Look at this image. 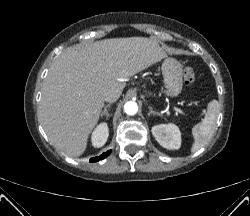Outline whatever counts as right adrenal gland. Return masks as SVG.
<instances>
[{
	"instance_id": "obj_1",
	"label": "right adrenal gland",
	"mask_w": 250,
	"mask_h": 216,
	"mask_svg": "<svg viewBox=\"0 0 250 216\" xmlns=\"http://www.w3.org/2000/svg\"><path fill=\"white\" fill-rule=\"evenodd\" d=\"M110 106H111V104H108V105H106V106L104 107V110H103V112L101 113V117L106 116V118L108 119V117H109L108 108H109Z\"/></svg>"
}]
</instances>
